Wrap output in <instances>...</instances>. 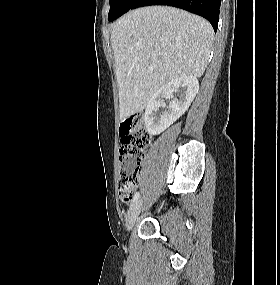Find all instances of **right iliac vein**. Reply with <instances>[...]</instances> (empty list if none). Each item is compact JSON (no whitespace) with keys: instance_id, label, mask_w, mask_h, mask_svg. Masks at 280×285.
Segmentation results:
<instances>
[{"instance_id":"63e3f726","label":"right iliac vein","mask_w":280,"mask_h":285,"mask_svg":"<svg viewBox=\"0 0 280 285\" xmlns=\"http://www.w3.org/2000/svg\"><path fill=\"white\" fill-rule=\"evenodd\" d=\"M140 207H141V201L136 202L134 205L130 207L126 216V228L128 231H130L133 228L135 221L138 217V214L140 212Z\"/></svg>"}]
</instances>
